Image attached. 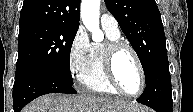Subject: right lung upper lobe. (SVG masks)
<instances>
[{
    "mask_svg": "<svg viewBox=\"0 0 193 112\" xmlns=\"http://www.w3.org/2000/svg\"><path fill=\"white\" fill-rule=\"evenodd\" d=\"M80 0H25L20 12V30L39 24L78 26Z\"/></svg>",
    "mask_w": 193,
    "mask_h": 112,
    "instance_id": "cb5924a9",
    "label": "right lung upper lobe"
}]
</instances>
